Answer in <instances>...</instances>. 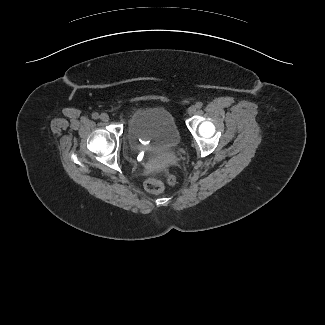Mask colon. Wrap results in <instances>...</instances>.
<instances>
[{
	"mask_svg": "<svg viewBox=\"0 0 325 325\" xmlns=\"http://www.w3.org/2000/svg\"><path fill=\"white\" fill-rule=\"evenodd\" d=\"M175 183V175L169 174L166 179V183L157 178L156 176H151L146 179L144 186L145 189L151 193H161L165 189V184L173 185Z\"/></svg>",
	"mask_w": 325,
	"mask_h": 325,
	"instance_id": "obj_1",
	"label": "colon"
}]
</instances>
